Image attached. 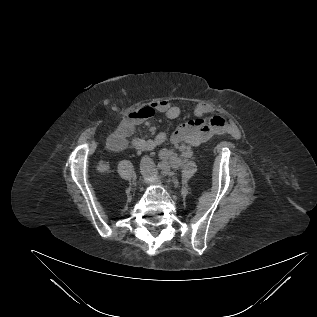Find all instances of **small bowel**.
<instances>
[{
    "label": "small bowel",
    "mask_w": 317,
    "mask_h": 317,
    "mask_svg": "<svg viewBox=\"0 0 317 317\" xmlns=\"http://www.w3.org/2000/svg\"><path fill=\"white\" fill-rule=\"evenodd\" d=\"M169 119H176L180 116L181 110L168 99H161L152 104ZM211 108L206 103H197L192 108V119L179 125L172 133L170 140L175 149L179 152L180 159H189L193 155L192 147H197L219 133H234L236 128L227 123L220 115L207 117ZM136 122L124 120L118 129L109 136L107 140L108 148L113 152L123 151L127 147L128 138L133 137ZM167 139L165 133L157 134L153 139L132 138V146L137 151H149L162 145ZM174 156L173 151L168 148L160 150V157L168 161ZM177 161L178 160H174ZM179 163V162H178Z\"/></svg>",
    "instance_id": "obj_1"
}]
</instances>
